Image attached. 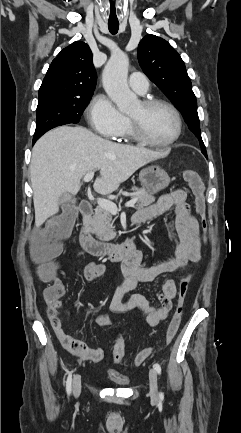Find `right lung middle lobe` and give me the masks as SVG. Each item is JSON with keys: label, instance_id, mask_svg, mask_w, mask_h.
Instances as JSON below:
<instances>
[{"label": "right lung middle lobe", "instance_id": "dd1d6c3e", "mask_svg": "<svg viewBox=\"0 0 241 433\" xmlns=\"http://www.w3.org/2000/svg\"><path fill=\"white\" fill-rule=\"evenodd\" d=\"M91 97H49L39 100L33 141L54 127L78 123Z\"/></svg>", "mask_w": 241, "mask_h": 433}]
</instances>
